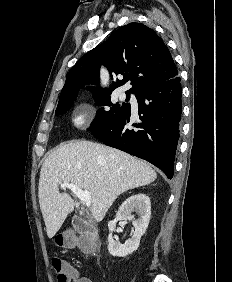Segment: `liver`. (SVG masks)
<instances>
[{"label": "liver", "mask_w": 232, "mask_h": 282, "mask_svg": "<svg viewBox=\"0 0 232 282\" xmlns=\"http://www.w3.org/2000/svg\"><path fill=\"white\" fill-rule=\"evenodd\" d=\"M156 178L146 162L111 147L86 140L60 146L45 159L39 179V204L48 237L55 236L74 210L72 197L59 192L63 182L90 192L92 215L101 221L120 194Z\"/></svg>", "instance_id": "liver-1"}]
</instances>
